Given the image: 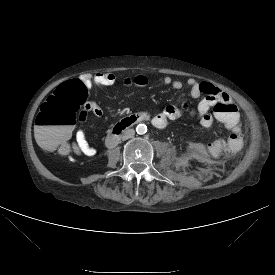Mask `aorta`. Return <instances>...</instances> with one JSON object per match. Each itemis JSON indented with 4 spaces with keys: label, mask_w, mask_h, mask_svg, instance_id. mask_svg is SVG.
<instances>
[{
    "label": "aorta",
    "mask_w": 275,
    "mask_h": 275,
    "mask_svg": "<svg viewBox=\"0 0 275 275\" xmlns=\"http://www.w3.org/2000/svg\"><path fill=\"white\" fill-rule=\"evenodd\" d=\"M136 132L143 135L147 132V126L145 124H138L136 127Z\"/></svg>",
    "instance_id": "obj_1"
}]
</instances>
